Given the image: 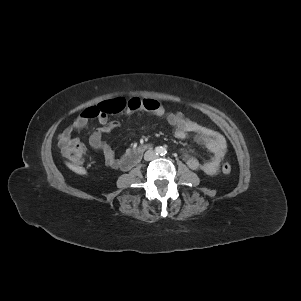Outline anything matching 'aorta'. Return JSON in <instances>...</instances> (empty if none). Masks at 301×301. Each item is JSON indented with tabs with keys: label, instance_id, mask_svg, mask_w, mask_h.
<instances>
[{
	"label": "aorta",
	"instance_id": "aorta-1",
	"mask_svg": "<svg viewBox=\"0 0 301 301\" xmlns=\"http://www.w3.org/2000/svg\"><path fill=\"white\" fill-rule=\"evenodd\" d=\"M165 152H166V151H165V149H164L163 147H157V148H156V153H157L158 155H163Z\"/></svg>",
	"mask_w": 301,
	"mask_h": 301
}]
</instances>
